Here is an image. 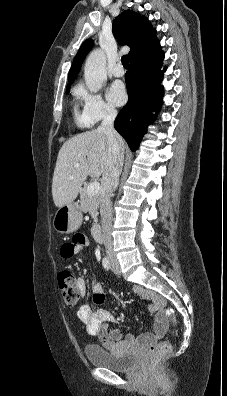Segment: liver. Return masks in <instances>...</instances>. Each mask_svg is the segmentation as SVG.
I'll return each mask as SVG.
<instances>
[{
  "label": "liver",
  "mask_w": 227,
  "mask_h": 396,
  "mask_svg": "<svg viewBox=\"0 0 227 396\" xmlns=\"http://www.w3.org/2000/svg\"><path fill=\"white\" fill-rule=\"evenodd\" d=\"M119 144L124 151L122 138ZM108 159L107 136L98 129L67 140L59 150L53 175L52 196L55 206L60 208L71 204L87 176L99 178L103 175ZM77 163L79 167L75 166Z\"/></svg>",
  "instance_id": "6515ba94"
}]
</instances>
